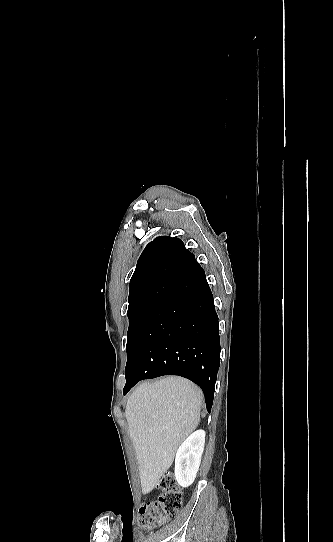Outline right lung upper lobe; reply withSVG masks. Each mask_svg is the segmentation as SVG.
<instances>
[{
    "mask_svg": "<svg viewBox=\"0 0 333 542\" xmlns=\"http://www.w3.org/2000/svg\"><path fill=\"white\" fill-rule=\"evenodd\" d=\"M176 249L188 251L180 239L167 236L157 237L146 246L130 280L128 308L166 295L189 275L166 261V254Z\"/></svg>",
    "mask_w": 333,
    "mask_h": 542,
    "instance_id": "1",
    "label": "right lung upper lobe"
}]
</instances>
